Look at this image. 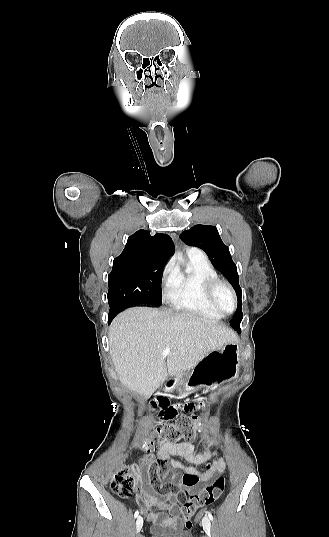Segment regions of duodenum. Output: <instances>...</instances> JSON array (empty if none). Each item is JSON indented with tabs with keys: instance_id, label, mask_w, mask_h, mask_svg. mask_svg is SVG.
<instances>
[{
	"instance_id": "duodenum-1",
	"label": "duodenum",
	"mask_w": 329,
	"mask_h": 537,
	"mask_svg": "<svg viewBox=\"0 0 329 537\" xmlns=\"http://www.w3.org/2000/svg\"><path fill=\"white\" fill-rule=\"evenodd\" d=\"M176 383H177V382H176L175 379H173V378H169V379H167V380L165 381V383H164V389H165V390H172V389L176 386ZM153 405H154L155 407H157V406L163 407V404H162V398H161V397L157 398V399L153 402Z\"/></svg>"
}]
</instances>
